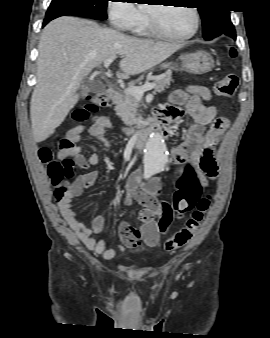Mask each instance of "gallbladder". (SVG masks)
Returning a JSON list of instances; mask_svg holds the SVG:
<instances>
[{"label":"gallbladder","mask_w":270,"mask_h":338,"mask_svg":"<svg viewBox=\"0 0 270 338\" xmlns=\"http://www.w3.org/2000/svg\"><path fill=\"white\" fill-rule=\"evenodd\" d=\"M105 90L102 83L98 81L84 80L80 88V96L85 97L89 93H98Z\"/></svg>","instance_id":"1"}]
</instances>
